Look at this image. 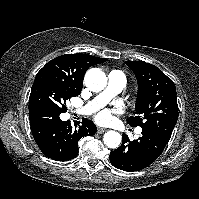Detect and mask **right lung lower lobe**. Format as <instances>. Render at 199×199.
Listing matches in <instances>:
<instances>
[{
	"instance_id": "obj_1",
	"label": "right lung lower lobe",
	"mask_w": 199,
	"mask_h": 199,
	"mask_svg": "<svg viewBox=\"0 0 199 199\" xmlns=\"http://www.w3.org/2000/svg\"><path fill=\"white\" fill-rule=\"evenodd\" d=\"M57 109L49 106L29 108L32 135L38 147L48 158L66 161L78 155V141L83 136H92L97 128L92 121L84 119L82 124L62 121Z\"/></svg>"
}]
</instances>
